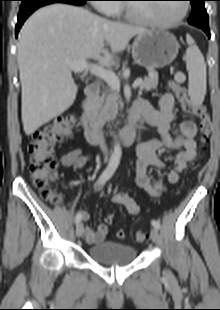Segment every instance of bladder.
Instances as JSON below:
<instances>
[{"label":"bladder","instance_id":"1","mask_svg":"<svg viewBox=\"0 0 220 310\" xmlns=\"http://www.w3.org/2000/svg\"><path fill=\"white\" fill-rule=\"evenodd\" d=\"M136 248L113 241H103L88 248V256L94 262L105 265H126L136 258Z\"/></svg>","mask_w":220,"mask_h":310}]
</instances>
